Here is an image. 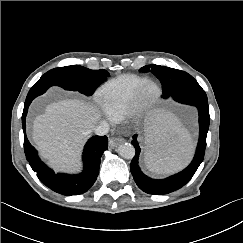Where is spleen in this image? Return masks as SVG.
Returning a JSON list of instances; mask_svg holds the SVG:
<instances>
[{
  "instance_id": "3e777b00",
  "label": "spleen",
  "mask_w": 243,
  "mask_h": 243,
  "mask_svg": "<svg viewBox=\"0 0 243 243\" xmlns=\"http://www.w3.org/2000/svg\"><path fill=\"white\" fill-rule=\"evenodd\" d=\"M145 164L155 173H170L188 163L193 141L188 131L171 113L155 111L145 122Z\"/></svg>"
}]
</instances>
